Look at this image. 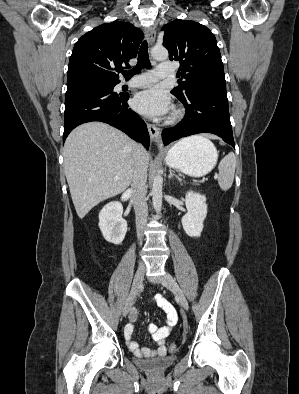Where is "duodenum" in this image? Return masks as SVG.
I'll return each mask as SVG.
<instances>
[{"instance_id":"obj_1","label":"duodenum","mask_w":299,"mask_h":394,"mask_svg":"<svg viewBox=\"0 0 299 394\" xmlns=\"http://www.w3.org/2000/svg\"><path fill=\"white\" fill-rule=\"evenodd\" d=\"M130 196H131V190H127L123 193L121 200L126 201L130 198Z\"/></svg>"}]
</instances>
